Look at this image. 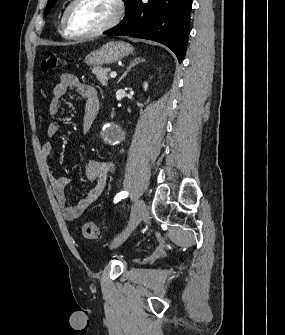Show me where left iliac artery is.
<instances>
[{
    "mask_svg": "<svg viewBox=\"0 0 285 335\" xmlns=\"http://www.w3.org/2000/svg\"><path fill=\"white\" fill-rule=\"evenodd\" d=\"M128 195L127 191H122L120 193H118L115 198H114V203L119 202L121 199L126 198Z\"/></svg>",
    "mask_w": 285,
    "mask_h": 335,
    "instance_id": "44dca946",
    "label": "left iliac artery"
}]
</instances>
